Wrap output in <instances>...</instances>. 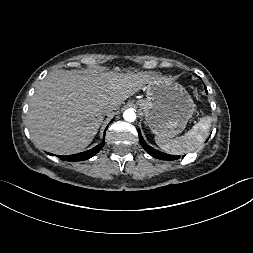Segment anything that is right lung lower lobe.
Returning <instances> with one entry per match:
<instances>
[{
	"mask_svg": "<svg viewBox=\"0 0 253 253\" xmlns=\"http://www.w3.org/2000/svg\"><path fill=\"white\" fill-rule=\"evenodd\" d=\"M106 130H107V128L105 129V131ZM104 136H105V133H104ZM103 145H104V141L101 144L95 146L94 148H92L88 151L81 152V153L74 154V155L59 156V158L61 160H64V161H83V160H87V159L93 157L95 154H97L102 149ZM49 155H53V154H49Z\"/></svg>",
	"mask_w": 253,
	"mask_h": 253,
	"instance_id": "98d812e1",
	"label": "right lung lower lobe"
}]
</instances>
